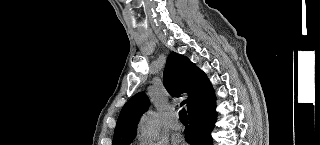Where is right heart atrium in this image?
Listing matches in <instances>:
<instances>
[{
	"label": "right heart atrium",
	"mask_w": 320,
	"mask_h": 145,
	"mask_svg": "<svg viewBox=\"0 0 320 145\" xmlns=\"http://www.w3.org/2000/svg\"><path fill=\"white\" fill-rule=\"evenodd\" d=\"M137 141L138 145H164V141L149 139L144 135H139Z\"/></svg>",
	"instance_id": "1"
}]
</instances>
